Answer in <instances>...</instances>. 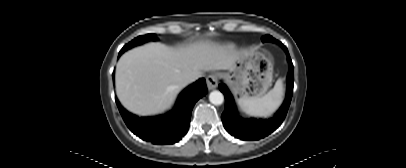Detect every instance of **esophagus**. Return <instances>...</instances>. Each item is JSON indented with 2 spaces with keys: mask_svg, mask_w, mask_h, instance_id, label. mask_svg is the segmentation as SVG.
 I'll use <instances>...</instances> for the list:
<instances>
[{
  "mask_svg": "<svg viewBox=\"0 0 406 168\" xmlns=\"http://www.w3.org/2000/svg\"><path fill=\"white\" fill-rule=\"evenodd\" d=\"M208 90H213L218 86V76L216 74H211L206 78Z\"/></svg>",
  "mask_w": 406,
  "mask_h": 168,
  "instance_id": "obj_1",
  "label": "esophagus"
}]
</instances>
